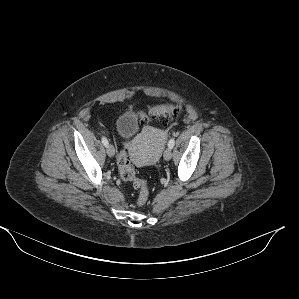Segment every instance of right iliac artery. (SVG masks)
<instances>
[{
    "label": "right iliac artery",
    "mask_w": 299,
    "mask_h": 299,
    "mask_svg": "<svg viewBox=\"0 0 299 299\" xmlns=\"http://www.w3.org/2000/svg\"><path fill=\"white\" fill-rule=\"evenodd\" d=\"M102 143L104 146H107L108 145V140L105 138V137H102Z\"/></svg>",
    "instance_id": "right-iliac-artery-1"
}]
</instances>
